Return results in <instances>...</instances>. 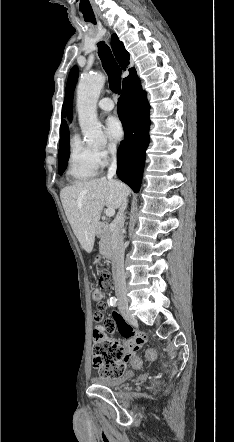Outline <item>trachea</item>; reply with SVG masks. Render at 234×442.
Here are the masks:
<instances>
[{
    "label": "trachea",
    "instance_id": "obj_1",
    "mask_svg": "<svg viewBox=\"0 0 234 442\" xmlns=\"http://www.w3.org/2000/svg\"><path fill=\"white\" fill-rule=\"evenodd\" d=\"M98 55L109 79V87L114 93L121 91V69L117 64L110 48L104 43H98Z\"/></svg>",
    "mask_w": 234,
    "mask_h": 442
}]
</instances>
